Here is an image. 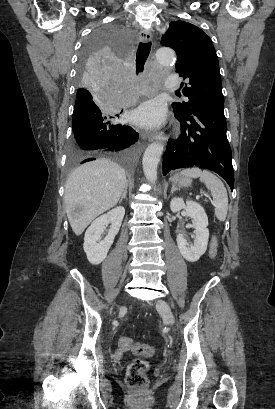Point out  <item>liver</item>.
I'll list each match as a JSON object with an SVG mask.
<instances>
[{"label":"liver","mask_w":275,"mask_h":409,"mask_svg":"<svg viewBox=\"0 0 275 409\" xmlns=\"http://www.w3.org/2000/svg\"><path fill=\"white\" fill-rule=\"evenodd\" d=\"M127 182L125 168L109 158L84 162L72 170L65 186V207L71 229L77 237L98 215L117 205ZM75 205L84 209L83 215L77 219L71 215Z\"/></svg>","instance_id":"liver-1"}]
</instances>
